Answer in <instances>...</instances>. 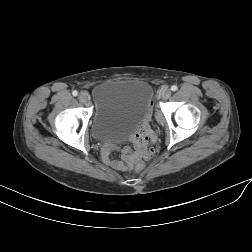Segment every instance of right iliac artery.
<instances>
[{"label":"right iliac artery","mask_w":252,"mask_h":252,"mask_svg":"<svg viewBox=\"0 0 252 252\" xmlns=\"http://www.w3.org/2000/svg\"><path fill=\"white\" fill-rule=\"evenodd\" d=\"M72 94H73V96H77V95H78V92H77L76 90H74V91L72 92Z\"/></svg>","instance_id":"obj_1"}]
</instances>
